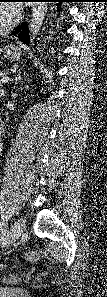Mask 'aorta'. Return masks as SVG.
<instances>
[{
	"label": "aorta",
	"mask_w": 107,
	"mask_h": 297,
	"mask_svg": "<svg viewBox=\"0 0 107 297\" xmlns=\"http://www.w3.org/2000/svg\"><path fill=\"white\" fill-rule=\"evenodd\" d=\"M48 6L47 2H36L33 4L32 14L29 21V32L32 38L39 33L46 17Z\"/></svg>",
	"instance_id": "aorta-1"
}]
</instances>
